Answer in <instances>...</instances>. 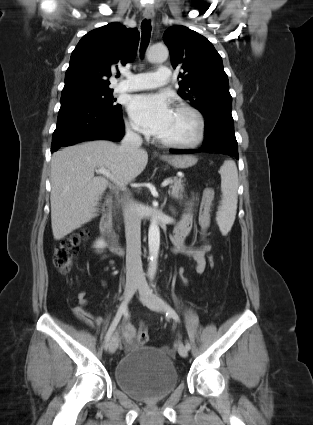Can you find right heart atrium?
<instances>
[{"label": "right heart atrium", "instance_id": "obj_1", "mask_svg": "<svg viewBox=\"0 0 313 425\" xmlns=\"http://www.w3.org/2000/svg\"><path fill=\"white\" fill-rule=\"evenodd\" d=\"M126 129H127V132L130 135H133V136H136L137 135V133L135 131V128L131 124L128 123Z\"/></svg>", "mask_w": 313, "mask_h": 425}]
</instances>
